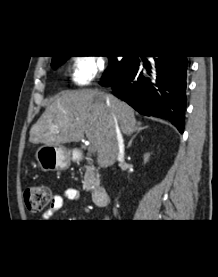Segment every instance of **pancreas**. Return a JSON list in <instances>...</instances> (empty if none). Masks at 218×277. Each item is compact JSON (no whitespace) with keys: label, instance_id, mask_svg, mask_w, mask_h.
<instances>
[{"label":"pancreas","instance_id":"1","mask_svg":"<svg viewBox=\"0 0 218 277\" xmlns=\"http://www.w3.org/2000/svg\"><path fill=\"white\" fill-rule=\"evenodd\" d=\"M99 173L93 165L86 166V172L82 181L84 188L89 191L99 181Z\"/></svg>","mask_w":218,"mask_h":277}]
</instances>
